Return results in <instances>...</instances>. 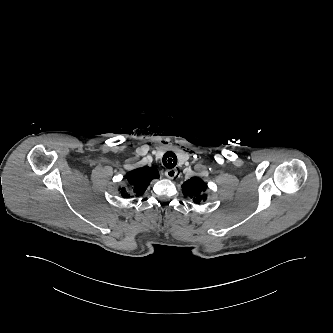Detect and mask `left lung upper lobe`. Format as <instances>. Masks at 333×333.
Returning a JSON list of instances; mask_svg holds the SVG:
<instances>
[{"mask_svg":"<svg viewBox=\"0 0 333 333\" xmlns=\"http://www.w3.org/2000/svg\"><path fill=\"white\" fill-rule=\"evenodd\" d=\"M207 184L203 182V180L193 177L182 185V191L184 196H189L193 199V201L197 204L204 201L207 197L204 192L206 191Z\"/></svg>","mask_w":333,"mask_h":333,"instance_id":"obj_1","label":"left lung upper lobe"}]
</instances>
